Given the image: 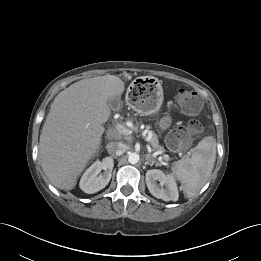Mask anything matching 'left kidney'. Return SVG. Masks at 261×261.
Here are the masks:
<instances>
[{
    "instance_id": "left-kidney-1",
    "label": "left kidney",
    "mask_w": 261,
    "mask_h": 261,
    "mask_svg": "<svg viewBox=\"0 0 261 261\" xmlns=\"http://www.w3.org/2000/svg\"><path fill=\"white\" fill-rule=\"evenodd\" d=\"M146 184L154 197L164 201L178 200L179 193L173 175L165 174L157 169L148 170L146 172Z\"/></svg>"
}]
</instances>
